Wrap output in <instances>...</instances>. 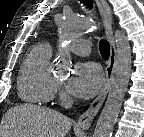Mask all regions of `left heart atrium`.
<instances>
[{
  "instance_id": "39dd6f15",
  "label": "left heart atrium",
  "mask_w": 144,
  "mask_h": 137,
  "mask_svg": "<svg viewBox=\"0 0 144 137\" xmlns=\"http://www.w3.org/2000/svg\"><path fill=\"white\" fill-rule=\"evenodd\" d=\"M103 84V74L94 62L79 63L70 79L68 88L78 98L87 99L94 96Z\"/></svg>"
}]
</instances>
